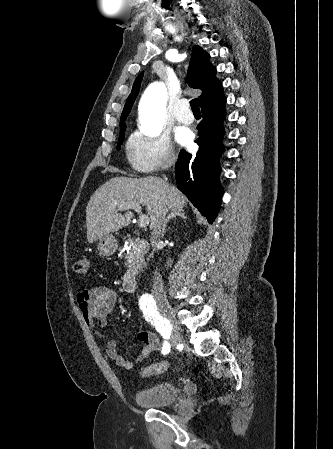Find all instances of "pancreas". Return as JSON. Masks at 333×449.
I'll return each mask as SVG.
<instances>
[{
    "mask_svg": "<svg viewBox=\"0 0 333 449\" xmlns=\"http://www.w3.org/2000/svg\"><path fill=\"white\" fill-rule=\"evenodd\" d=\"M137 254L138 253H137V250L135 248L127 249V256H126L127 262H126V265H130L133 262V259L135 257H137Z\"/></svg>",
    "mask_w": 333,
    "mask_h": 449,
    "instance_id": "pancreas-1",
    "label": "pancreas"
}]
</instances>
